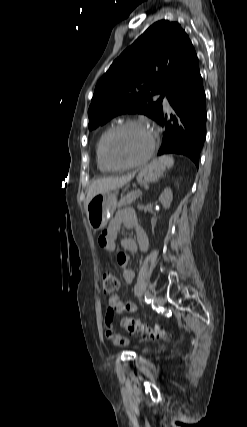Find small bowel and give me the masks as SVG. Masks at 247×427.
<instances>
[{
	"label": "small bowel",
	"instance_id": "obj_1",
	"mask_svg": "<svg viewBox=\"0 0 247 427\" xmlns=\"http://www.w3.org/2000/svg\"><path fill=\"white\" fill-rule=\"evenodd\" d=\"M122 226L135 232V239L123 238L120 240L124 250L134 253L138 249L142 252H147L149 249V240L145 231L137 225V219L132 209H122L117 212L114 218L110 221L108 227L99 238L100 246L109 252L116 250V243L119 238V233ZM129 256L126 253L120 252L117 254V262L123 269V278L127 284H131L134 279V272L128 268ZM136 305L131 301L122 300L118 295H112L108 301V308L104 318V333L114 346H125L128 344V339L119 335L114 330L115 315L124 312H135Z\"/></svg>",
	"mask_w": 247,
	"mask_h": 427
}]
</instances>
